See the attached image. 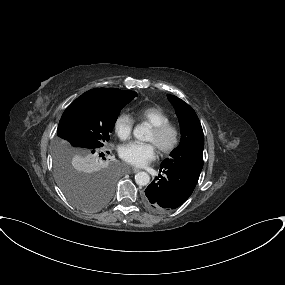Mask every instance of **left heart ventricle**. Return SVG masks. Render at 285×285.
I'll return each mask as SVG.
<instances>
[{
    "mask_svg": "<svg viewBox=\"0 0 285 285\" xmlns=\"http://www.w3.org/2000/svg\"><path fill=\"white\" fill-rule=\"evenodd\" d=\"M172 139V135L170 133H167L165 136L162 138H157L154 133L151 131L148 140L154 142L156 146L158 147L159 145H165L168 144Z\"/></svg>",
    "mask_w": 285,
    "mask_h": 285,
    "instance_id": "b2bd125f",
    "label": "left heart ventricle"
}]
</instances>
